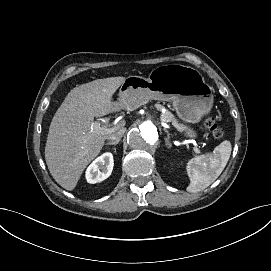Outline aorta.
<instances>
[{
  "instance_id": "762f6f07",
  "label": "aorta",
  "mask_w": 271,
  "mask_h": 271,
  "mask_svg": "<svg viewBox=\"0 0 271 271\" xmlns=\"http://www.w3.org/2000/svg\"><path fill=\"white\" fill-rule=\"evenodd\" d=\"M158 131L150 120H136L127 133V143L139 152H149L157 144Z\"/></svg>"
}]
</instances>
